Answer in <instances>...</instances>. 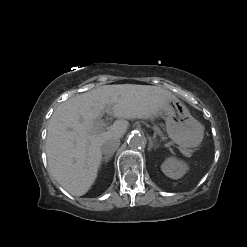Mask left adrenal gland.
I'll return each mask as SVG.
<instances>
[{
    "instance_id": "1",
    "label": "left adrenal gland",
    "mask_w": 247,
    "mask_h": 247,
    "mask_svg": "<svg viewBox=\"0 0 247 247\" xmlns=\"http://www.w3.org/2000/svg\"><path fill=\"white\" fill-rule=\"evenodd\" d=\"M152 148H155L154 142L152 141L151 137H149V147L148 150L150 151Z\"/></svg>"
}]
</instances>
